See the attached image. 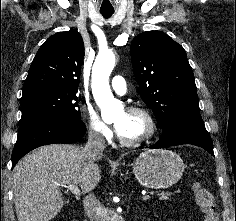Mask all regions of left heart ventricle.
I'll list each match as a JSON object with an SVG mask.
<instances>
[{"label":"left heart ventricle","mask_w":236,"mask_h":221,"mask_svg":"<svg viewBox=\"0 0 236 221\" xmlns=\"http://www.w3.org/2000/svg\"><path fill=\"white\" fill-rule=\"evenodd\" d=\"M118 132L126 140H136L148 132V122L144 116L136 113L120 112L114 121Z\"/></svg>","instance_id":"1"}]
</instances>
